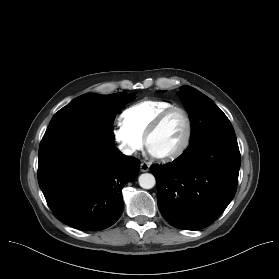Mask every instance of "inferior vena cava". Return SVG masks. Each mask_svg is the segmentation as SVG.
Wrapping results in <instances>:
<instances>
[{
  "instance_id": "inferior-vena-cava-1",
  "label": "inferior vena cava",
  "mask_w": 279,
  "mask_h": 279,
  "mask_svg": "<svg viewBox=\"0 0 279 279\" xmlns=\"http://www.w3.org/2000/svg\"><path fill=\"white\" fill-rule=\"evenodd\" d=\"M122 152L125 155H131L133 153V151L131 149H123Z\"/></svg>"
}]
</instances>
